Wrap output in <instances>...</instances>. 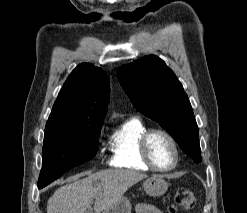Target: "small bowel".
<instances>
[{
    "mask_svg": "<svg viewBox=\"0 0 247 213\" xmlns=\"http://www.w3.org/2000/svg\"><path fill=\"white\" fill-rule=\"evenodd\" d=\"M136 213H163V212L154 205L139 203L136 206Z\"/></svg>",
    "mask_w": 247,
    "mask_h": 213,
    "instance_id": "obj_1",
    "label": "small bowel"
}]
</instances>
